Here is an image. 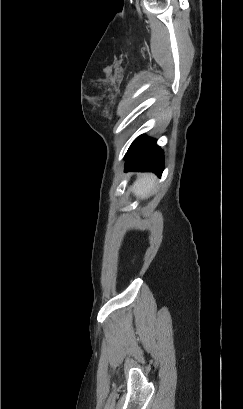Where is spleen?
Here are the masks:
<instances>
[{
	"mask_svg": "<svg viewBox=\"0 0 243 409\" xmlns=\"http://www.w3.org/2000/svg\"><path fill=\"white\" fill-rule=\"evenodd\" d=\"M155 177L153 175H145L139 179L133 186V192L137 197L147 195L154 187Z\"/></svg>",
	"mask_w": 243,
	"mask_h": 409,
	"instance_id": "spleen-1",
	"label": "spleen"
}]
</instances>
